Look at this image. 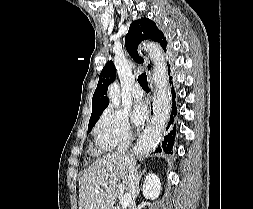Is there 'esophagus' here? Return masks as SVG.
<instances>
[{
  "mask_svg": "<svg viewBox=\"0 0 253 209\" xmlns=\"http://www.w3.org/2000/svg\"><path fill=\"white\" fill-rule=\"evenodd\" d=\"M153 116H154V108L150 106V108H149V119H148L147 123L143 126V128H146L150 124V122L153 119Z\"/></svg>",
  "mask_w": 253,
  "mask_h": 209,
  "instance_id": "1",
  "label": "esophagus"
}]
</instances>
